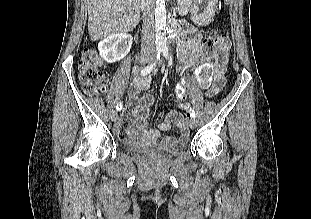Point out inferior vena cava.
I'll return each instance as SVG.
<instances>
[{"label": "inferior vena cava", "instance_id": "inferior-vena-cava-1", "mask_svg": "<svg viewBox=\"0 0 311 219\" xmlns=\"http://www.w3.org/2000/svg\"><path fill=\"white\" fill-rule=\"evenodd\" d=\"M144 7L142 25V51L155 50L154 0H142Z\"/></svg>", "mask_w": 311, "mask_h": 219}]
</instances>
